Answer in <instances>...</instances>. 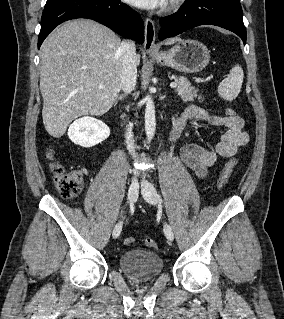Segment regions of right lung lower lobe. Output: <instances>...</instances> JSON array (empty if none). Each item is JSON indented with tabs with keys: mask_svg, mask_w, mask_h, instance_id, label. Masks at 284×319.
<instances>
[{
	"mask_svg": "<svg viewBox=\"0 0 284 319\" xmlns=\"http://www.w3.org/2000/svg\"><path fill=\"white\" fill-rule=\"evenodd\" d=\"M75 18L92 19L123 37L144 41L142 18L119 0H54L46 3L42 14L38 48L57 25Z\"/></svg>",
	"mask_w": 284,
	"mask_h": 319,
	"instance_id": "obj_1",
	"label": "right lung lower lobe"
}]
</instances>
